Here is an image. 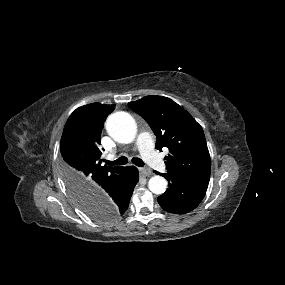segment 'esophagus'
Returning <instances> with one entry per match:
<instances>
[{
  "mask_svg": "<svg viewBox=\"0 0 285 285\" xmlns=\"http://www.w3.org/2000/svg\"><path fill=\"white\" fill-rule=\"evenodd\" d=\"M140 173L143 176H150L152 174V171L149 168H141Z\"/></svg>",
  "mask_w": 285,
  "mask_h": 285,
  "instance_id": "1",
  "label": "esophagus"
}]
</instances>
